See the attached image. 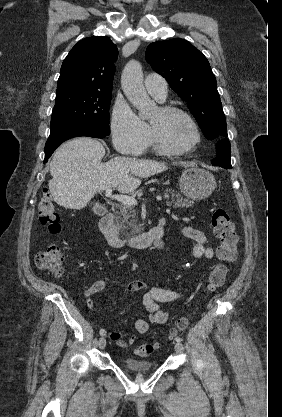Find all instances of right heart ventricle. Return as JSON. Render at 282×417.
Here are the masks:
<instances>
[{"instance_id": "obj_1", "label": "right heart ventricle", "mask_w": 282, "mask_h": 417, "mask_svg": "<svg viewBox=\"0 0 282 417\" xmlns=\"http://www.w3.org/2000/svg\"><path fill=\"white\" fill-rule=\"evenodd\" d=\"M149 141H150L151 143H153V138H152V136H151V135H150Z\"/></svg>"}]
</instances>
